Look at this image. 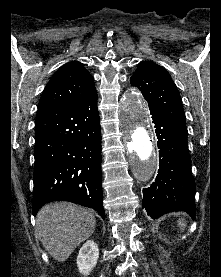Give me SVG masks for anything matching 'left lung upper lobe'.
Segmentation results:
<instances>
[{
  "label": "left lung upper lobe",
  "mask_w": 221,
  "mask_h": 277,
  "mask_svg": "<svg viewBox=\"0 0 221 277\" xmlns=\"http://www.w3.org/2000/svg\"><path fill=\"white\" fill-rule=\"evenodd\" d=\"M130 83L141 90L149 107L160 112L182 133L188 134L180 94L164 68L143 61L130 78Z\"/></svg>",
  "instance_id": "1"
}]
</instances>
